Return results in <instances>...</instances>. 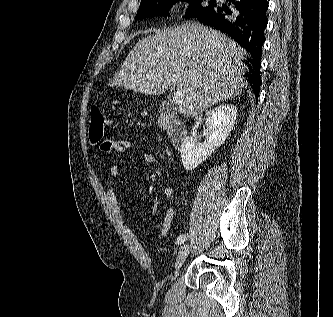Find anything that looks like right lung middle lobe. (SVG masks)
Listing matches in <instances>:
<instances>
[{
  "label": "right lung middle lobe",
  "mask_w": 333,
  "mask_h": 317,
  "mask_svg": "<svg viewBox=\"0 0 333 317\" xmlns=\"http://www.w3.org/2000/svg\"><path fill=\"white\" fill-rule=\"evenodd\" d=\"M179 0H141V4L136 15V19H142L150 16H164L168 15V8L170 4H175ZM187 1V0H182ZM190 5L188 8V14L193 17L197 16L201 11L210 7L203 3V0H188Z\"/></svg>",
  "instance_id": "obj_1"
}]
</instances>
